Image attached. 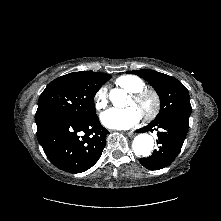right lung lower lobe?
Returning <instances> with one entry per match:
<instances>
[{
	"label": "right lung lower lobe",
	"instance_id": "obj_1",
	"mask_svg": "<svg viewBox=\"0 0 221 221\" xmlns=\"http://www.w3.org/2000/svg\"><path fill=\"white\" fill-rule=\"evenodd\" d=\"M108 131L98 116L88 119L61 118L37 126V139L57 168L81 173L100 158Z\"/></svg>",
	"mask_w": 221,
	"mask_h": 221
}]
</instances>
